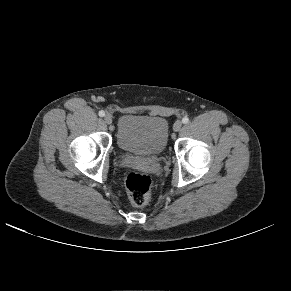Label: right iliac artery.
Instances as JSON below:
<instances>
[{"label": "right iliac artery", "mask_w": 291, "mask_h": 291, "mask_svg": "<svg viewBox=\"0 0 291 291\" xmlns=\"http://www.w3.org/2000/svg\"><path fill=\"white\" fill-rule=\"evenodd\" d=\"M99 116L100 117H104L105 116V112L103 110L99 111Z\"/></svg>", "instance_id": "1"}]
</instances>
